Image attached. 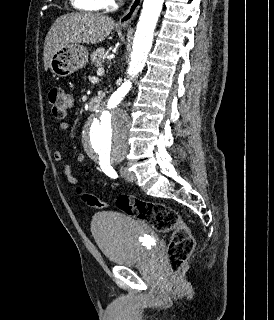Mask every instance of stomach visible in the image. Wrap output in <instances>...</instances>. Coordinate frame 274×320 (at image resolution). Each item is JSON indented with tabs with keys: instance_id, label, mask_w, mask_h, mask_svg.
Returning a JSON list of instances; mask_svg holds the SVG:
<instances>
[{
	"instance_id": "1",
	"label": "stomach",
	"mask_w": 274,
	"mask_h": 320,
	"mask_svg": "<svg viewBox=\"0 0 274 320\" xmlns=\"http://www.w3.org/2000/svg\"><path fill=\"white\" fill-rule=\"evenodd\" d=\"M125 30V28H123ZM88 62V50L83 46L61 48L50 60V70L57 78H66L77 70L85 68Z\"/></svg>"
}]
</instances>
